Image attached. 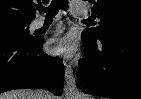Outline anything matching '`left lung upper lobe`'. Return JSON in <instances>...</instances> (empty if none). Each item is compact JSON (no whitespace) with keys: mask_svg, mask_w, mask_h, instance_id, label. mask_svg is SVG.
Returning a JSON list of instances; mask_svg holds the SVG:
<instances>
[{"mask_svg":"<svg viewBox=\"0 0 141 99\" xmlns=\"http://www.w3.org/2000/svg\"><path fill=\"white\" fill-rule=\"evenodd\" d=\"M92 15L100 19L97 28L85 29L82 36L98 42L105 36L141 37L140 0H89Z\"/></svg>","mask_w":141,"mask_h":99,"instance_id":"5c2ea615","label":"left lung upper lobe"}]
</instances>
